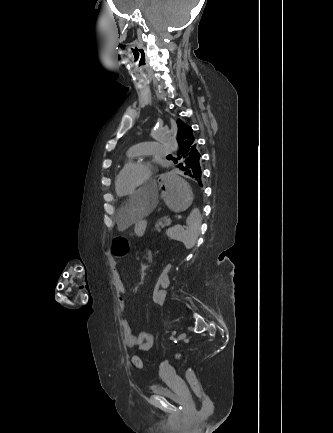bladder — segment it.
I'll return each mask as SVG.
<instances>
[{"label": "bladder", "mask_w": 333, "mask_h": 433, "mask_svg": "<svg viewBox=\"0 0 333 433\" xmlns=\"http://www.w3.org/2000/svg\"><path fill=\"white\" fill-rule=\"evenodd\" d=\"M151 390L154 394L167 398L176 403L186 400V397L184 395L174 392L172 389L165 385H153L151 387Z\"/></svg>", "instance_id": "bladder-1"}]
</instances>
